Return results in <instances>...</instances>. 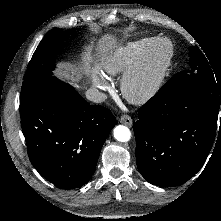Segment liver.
<instances>
[{"label": "liver", "instance_id": "1", "mask_svg": "<svg viewBox=\"0 0 221 221\" xmlns=\"http://www.w3.org/2000/svg\"><path fill=\"white\" fill-rule=\"evenodd\" d=\"M116 47V41L110 35H106L100 44L101 58L106 62H113L116 53L113 52ZM55 75L60 79L67 80L75 84L80 79V74L71 68L68 64H60L55 72Z\"/></svg>", "mask_w": 221, "mask_h": 221}]
</instances>
